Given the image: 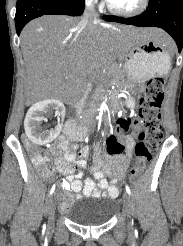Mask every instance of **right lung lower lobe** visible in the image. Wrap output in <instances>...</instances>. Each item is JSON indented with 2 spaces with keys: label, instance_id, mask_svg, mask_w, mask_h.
I'll return each mask as SVG.
<instances>
[{
  "label": "right lung lower lobe",
  "instance_id": "right-lung-lower-lobe-1",
  "mask_svg": "<svg viewBox=\"0 0 183 246\" xmlns=\"http://www.w3.org/2000/svg\"><path fill=\"white\" fill-rule=\"evenodd\" d=\"M84 7V0H17L16 32L19 35L29 21L43 15L80 16Z\"/></svg>",
  "mask_w": 183,
  "mask_h": 246
}]
</instances>
